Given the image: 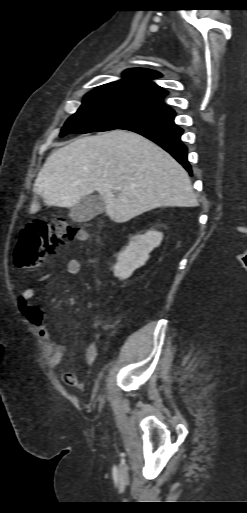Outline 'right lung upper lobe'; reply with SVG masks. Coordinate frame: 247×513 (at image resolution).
Returning <instances> with one entry per match:
<instances>
[{
	"instance_id": "cb5924a9",
	"label": "right lung upper lobe",
	"mask_w": 247,
	"mask_h": 513,
	"mask_svg": "<svg viewBox=\"0 0 247 513\" xmlns=\"http://www.w3.org/2000/svg\"><path fill=\"white\" fill-rule=\"evenodd\" d=\"M123 79L111 82L97 88H109L133 93L154 105L166 106L163 98L167 91L150 79L159 78L161 75L156 71L142 68L126 70Z\"/></svg>"
}]
</instances>
